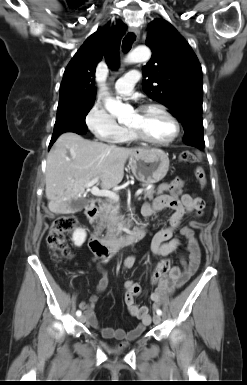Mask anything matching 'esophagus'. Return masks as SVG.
I'll return each instance as SVG.
<instances>
[{
	"label": "esophagus",
	"mask_w": 247,
	"mask_h": 385,
	"mask_svg": "<svg viewBox=\"0 0 247 385\" xmlns=\"http://www.w3.org/2000/svg\"><path fill=\"white\" fill-rule=\"evenodd\" d=\"M129 30H130V32L134 33V35H135L137 38H139V36H140V29H139V28H137V27H131Z\"/></svg>",
	"instance_id": "1"
}]
</instances>
